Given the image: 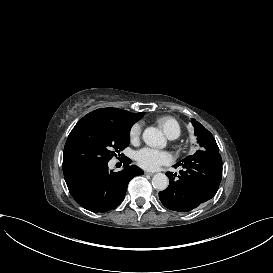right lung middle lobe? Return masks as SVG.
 I'll use <instances>...</instances> for the list:
<instances>
[{"label":"right lung middle lobe","mask_w":273,"mask_h":273,"mask_svg":"<svg viewBox=\"0 0 273 273\" xmlns=\"http://www.w3.org/2000/svg\"><path fill=\"white\" fill-rule=\"evenodd\" d=\"M130 129V126L84 116L66 141L63 171L81 164L108 162L129 145Z\"/></svg>","instance_id":"1"}]
</instances>
